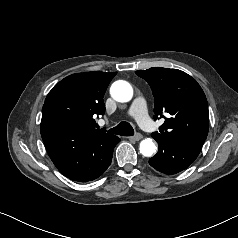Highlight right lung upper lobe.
<instances>
[{
    "label": "right lung upper lobe",
    "instance_id": "right-lung-upper-lobe-1",
    "mask_svg": "<svg viewBox=\"0 0 238 238\" xmlns=\"http://www.w3.org/2000/svg\"><path fill=\"white\" fill-rule=\"evenodd\" d=\"M117 72L72 74L56 84L42 108L41 136L57 169L74 178L94 169L101 153L118 137L95 130L103 96Z\"/></svg>",
    "mask_w": 238,
    "mask_h": 238
}]
</instances>
